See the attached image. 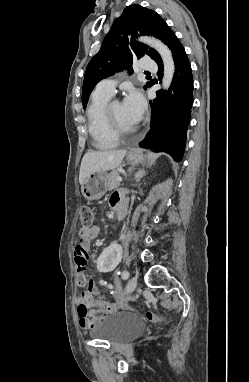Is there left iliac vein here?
I'll use <instances>...</instances> for the list:
<instances>
[{"label":"left iliac vein","instance_id":"left-iliac-vein-1","mask_svg":"<svg viewBox=\"0 0 249 382\" xmlns=\"http://www.w3.org/2000/svg\"><path fill=\"white\" fill-rule=\"evenodd\" d=\"M137 288V277H131L126 285L125 294H131Z\"/></svg>","mask_w":249,"mask_h":382}]
</instances>
